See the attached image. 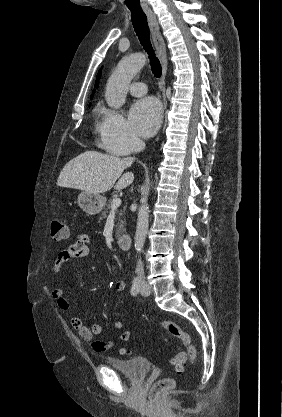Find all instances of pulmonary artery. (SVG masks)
Segmentation results:
<instances>
[{
  "label": "pulmonary artery",
  "instance_id": "obj_1",
  "mask_svg": "<svg viewBox=\"0 0 282 417\" xmlns=\"http://www.w3.org/2000/svg\"><path fill=\"white\" fill-rule=\"evenodd\" d=\"M129 91L134 96H142L146 93L147 87L145 83L133 82L129 85Z\"/></svg>",
  "mask_w": 282,
  "mask_h": 417
}]
</instances>
